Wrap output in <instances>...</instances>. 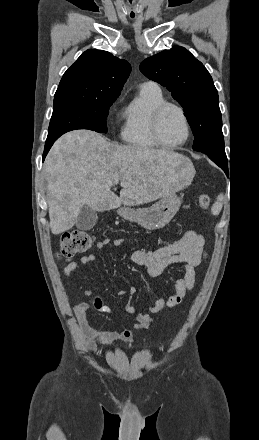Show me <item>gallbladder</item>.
<instances>
[{"mask_svg":"<svg viewBox=\"0 0 259 440\" xmlns=\"http://www.w3.org/2000/svg\"><path fill=\"white\" fill-rule=\"evenodd\" d=\"M98 215L96 211L92 210L88 206H84L76 220V227L80 230H90L97 223Z\"/></svg>","mask_w":259,"mask_h":440,"instance_id":"1","label":"gallbladder"}]
</instances>
